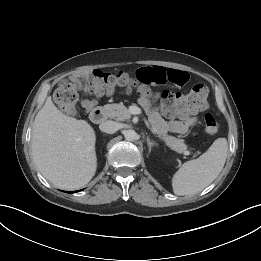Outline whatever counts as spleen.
<instances>
[{"mask_svg": "<svg viewBox=\"0 0 261 261\" xmlns=\"http://www.w3.org/2000/svg\"><path fill=\"white\" fill-rule=\"evenodd\" d=\"M227 154V139H216L205 153L185 162L173 175V192L176 195H193L205 189L222 171Z\"/></svg>", "mask_w": 261, "mask_h": 261, "instance_id": "spleen-1", "label": "spleen"}]
</instances>
